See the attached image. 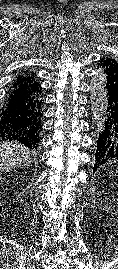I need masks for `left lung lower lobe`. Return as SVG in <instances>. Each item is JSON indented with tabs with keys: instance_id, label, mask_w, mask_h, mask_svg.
Instances as JSON below:
<instances>
[{
	"instance_id": "left-lung-lower-lobe-1",
	"label": "left lung lower lobe",
	"mask_w": 118,
	"mask_h": 269,
	"mask_svg": "<svg viewBox=\"0 0 118 269\" xmlns=\"http://www.w3.org/2000/svg\"><path fill=\"white\" fill-rule=\"evenodd\" d=\"M104 102V125L99 133L93 172L109 159H118V93L106 90Z\"/></svg>"
}]
</instances>
